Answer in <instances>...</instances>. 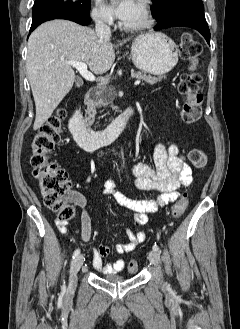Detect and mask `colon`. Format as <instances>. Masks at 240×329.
<instances>
[{"instance_id": "colon-1", "label": "colon", "mask_w": 240, "mask_h": 329, "mask_svg": "<svg viewBox=\"0 0 240 329\" xmlns=\"http://www.w3.org/2000/svg\"><path fill=\"white\" fill-rule=\"evenodd\" d=\"M201 51V44L191 34L183 36L181 55L192 63L190 73L183 76L179 83V90L185 98L181 109V121L184 124H193L201 116L203 92L201 77L197 69V58ZM64 117L65 110L61 107L58 108L34 135L31 143V165L33 177L39 184L45 205L57 213L60 221L66 222L75 216L72 203L76 201L77 197L72 192V184L66 171L48 159L49 153L61 140ZM189 160L197 169H202L207 164V156L199 147L190 149ZM187 205L188 198L184 193L173 204L172 216L180 217L185 212ZM128 270L135 273L138 270V263L134 260L130 261Z\"/></svg>"}]
</instances>
